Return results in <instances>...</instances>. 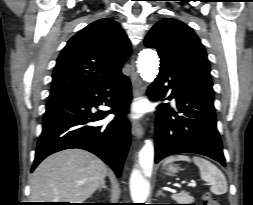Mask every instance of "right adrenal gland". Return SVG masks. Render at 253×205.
Listing matches in <instances>:
<instances>
[{"label": "right adrenal gland", "mask_w": 253, "mask_h": 205, "mask_svg": "<svg viewBox=\"0 0 253 205\" xmlns=\"http://www.w3.org/2000/svg\"><path fill=\"white\" fill-rule=\"evenodd\" d=\"M102 188H104V189H106L107 187H106V185H105V181H103V183L101 184V186L99 187V191H101L102 190Z\"/></svg>", "instance_id": "obj_1"}]
</instances>
